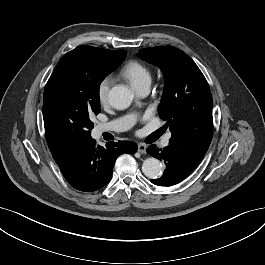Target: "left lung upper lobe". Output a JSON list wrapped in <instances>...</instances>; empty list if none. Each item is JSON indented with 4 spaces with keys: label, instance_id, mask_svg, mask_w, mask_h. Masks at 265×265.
Returning a JSON list of instances; mask_svg holds the SVG:
<instances>
[{
    "label": "left lung upper lobe",
    "instance_id": "obj_1",
    "mask_svg": "<svg viewBox=\"0 0 265 265\" xmlns=\"http://www.w3.org/2000/svg\"><path fill=\"white\" fill-rule=\"evenodd\" d=\"M138 56L163 71L165 87L158 113L172 133L169 147L196 167L213 134L212 96L204 75L186 53L171 46L144 48Z\"/></svg>",
    "mask_w": 265,
    "mask_h": 265
}]
</instances>
